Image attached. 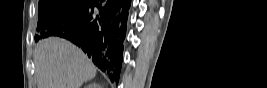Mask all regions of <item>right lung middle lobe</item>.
I'll use <instances>...</instances> for the list:
<instances>
[{"label":"right lung middle lobe","instance_id":"obj_1","mask_svg":"<svg viewBox=\"0 0 267 88\" xmlns=\"http://www.w3.org/2000/svg\"><path fill=\"white\" fill-rule=\"evenodd\" d=\"M90 0H39L38 27L41 33L36 41L48 37L50 27L61 20L68 19L85 7Z\"/></svg>","mask_w":267,"mask_h":88}]
</instances>
